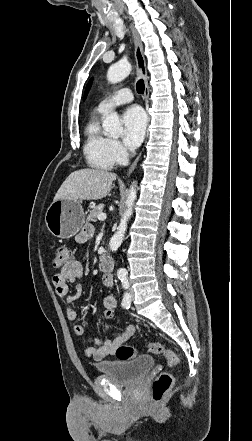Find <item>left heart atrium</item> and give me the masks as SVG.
I'll use <instances>...</instances> for the list:
<instances>
[{
    "instance_id": "obj_1",
    "label": "left heart atrium",
    "mask_w": 252,
    "mask_h": 441,
    "mask_svg": "<svg viewBox=\"0 0 252 441\" xmlns=\"http://www.w3.org/2000/svg\"><path fill=\"white\" fill-rule=\"evenodd\" d=\"M123 141L130 149L137 148L145 135L147 118L140 106H130L123 114Z\"/></svg>"
}]
</instances>
